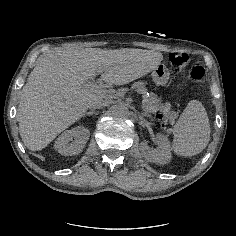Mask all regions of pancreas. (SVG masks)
<instances>
[{
	"mask_svg": "<svg viewBox=\"0 0 236 236\" xmlns=\"http://www.w3.org/2000/svg\"><path fill=\"white\" fill-rule=\"evenodd\" d=\"M148 89L147 83H139L136 85V90L140 93H143L145 90ZM125 95V92L122 89H119L118 91H115L113 94L108 93L105 96V99L108 102H111L113 99L118 100L119 98H122ZM143 108L150 110L151 112L158 110L161 105V98H158L156 95H151L149 97H145L143 100Z\"/></svg>",
	"mask_w": 236,
	"mask_h": 236,
	"instance_id": "1",
	"label": "pancreas"
}]
</instances>
